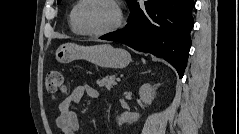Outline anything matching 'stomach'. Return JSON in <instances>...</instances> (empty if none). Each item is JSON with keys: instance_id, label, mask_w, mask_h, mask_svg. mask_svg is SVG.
I'll return each mask as SVG.
<instances>
[{"instance_id": "1", "label": "stomach", "mask_w": 239, "mask_h": 134, "mask_svg": "<svg viewBox=\"0 0 239 134\" xmlns=\"http://www.w3.org/2000/svg\"><path fill=\"white\" fill-rule=\"evenodd\" d=\"M55 58L60 63L85 59L96 66L115 69L124 68L131 61V56L126 50L114 48L109 44L92 46H81L74 43L63 44L57 48Z\"/></svg>"}]
</instances>
